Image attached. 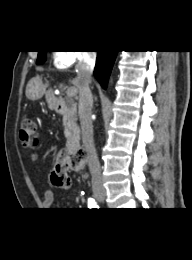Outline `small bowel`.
Here are the masks:
<instances>
[{
  "instance_id": "1",
  "label": "small bowel",
  "mask_w": 192,
  "mask_h": 260,
  "mask_svg": "<svg viewBox=\"0 0 192 260\" xmlns=\"http://www.w3.org/2000/svg\"><path fill=\"white\" fill-rule=\"evenodd\" d=\"M54 200V194L51 189H45L43 205L45 208H50Z\"/></svg>"
}]
</instances>
